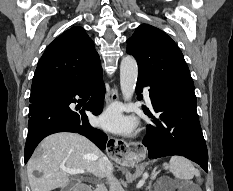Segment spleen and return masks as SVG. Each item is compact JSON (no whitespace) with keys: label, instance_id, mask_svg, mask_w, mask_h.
<instances>
[{"label":"spleen","instance_id":"obj_1","mask_svg":"<svg viewBox=\"0 0 233 191\" xmlns=\"http://www.w3.org/2000/svg\"><path fill=\"white\" fill-rule=\"evenodd\" d=\"M164 168L169 169L175 178L180 180H191L193 176H200V172L193 164L182 156L171 157L169 164L164 163Z\"/></svg>","mask_w":233,"mask_h":191}]
</instances>
